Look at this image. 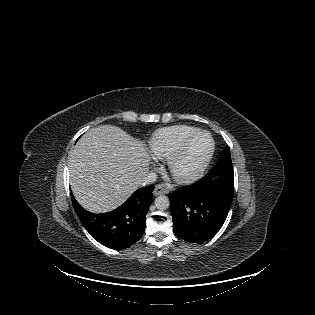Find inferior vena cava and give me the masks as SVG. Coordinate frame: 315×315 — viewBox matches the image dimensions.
I'll return each mask as SVG.
<instances>
[{"mask_svg": "<svg viewBox=\"0 0 315 315\" xmlns=\"http://www.w3.org/2000/svg\"><path fill=\"white\" fill-rule=\"evenodd\" d=\"M157 179V175L154 172H148L146 176L141 181V185H147L155 182Z\"/></svg>", "mask_w": 315, "mask_h": 315, "instance_id": "1", "label": "inferior vena cava"}]
</instances>
